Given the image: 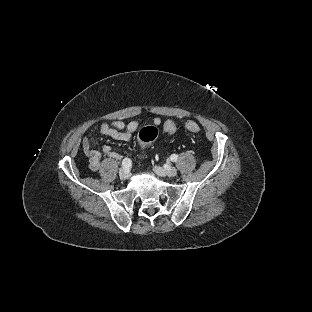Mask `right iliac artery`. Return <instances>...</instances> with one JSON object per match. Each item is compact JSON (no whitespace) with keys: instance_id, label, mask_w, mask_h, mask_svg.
<instances>
[{"instance_id":"obj_1","label":"right iliac artery","mask_w":312,"mask_h":312,"mask_svg":"<svg viewBox=\"0 0 312 312\" xmlns=\"http://www.w3.org/2000/svg\"><path fill=\"white\" fill-rule=\"evenodd\" d=\"M122 166L125 168H130L131 167V160L129 158L123 159Z\"/></svg>"}]
</instances>
